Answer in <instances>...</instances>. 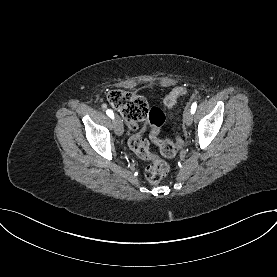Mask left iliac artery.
I'll list each match as a JSON object with an SVG mask.
<instances>
[{"instance_id":"left-iliac-artery-1","label":"left iliac artery","mask_w":277,"mask_h":277,"mask_svg":"<svg viewBox=\"0 0 277 277\" xmlns=\"http://www.w3.org/2000/svg\"><path fill=\"white\" fill-rule=\"evenodd\" d=\"M196 108H197V103H196V102H194V103L192 104V106H191V113H192V114H194V113H195Z\"/></svg>"}]
</instances>
